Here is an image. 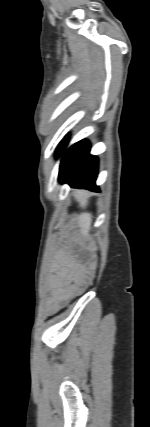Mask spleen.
<instances>
[{
    "label": "spleen",
    "instance_id": "3e777b00",
    "mask_svg": "<svg viewBox=\"0 0 150 427\" xmlns=\"http://www.w3.org/2000/svg\"><path fill=\"white\" fill-rule=\"evenodd\" d=\"M78 201L80 202V206L82 208H85L88 203V194L87 193H80L78 194ZM78 222L81 227L82 233L85 235L89 234V230L91 228L92 223V215L88 212H82L78 215Z\"/></svg>",
    "mask_w": 150,
    "mask_h": 427
}]
</instances>
